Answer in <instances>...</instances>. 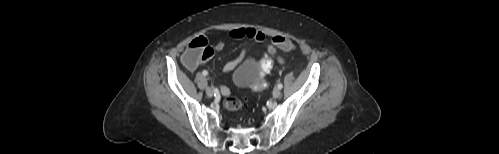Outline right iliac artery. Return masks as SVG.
I'll return each mask as SVG.
<instances>
[{
    "label": "right iliac artery",
    "mask_w": 499,
    "mask_h": 154,
    "mask_svg": "<svg viewBox=\"0 0 499 154\" xmlns=\"http://www.w3.org/2000/svg\"><path fill=\"white\" fill-rule=\"evenodd\" d=\"M202 74H203L204 76H207V75H208V72H207L206 70H204V71L202 72Z\"/></svg>",
    "instance_id": "obj_1"
}]
</instances>
